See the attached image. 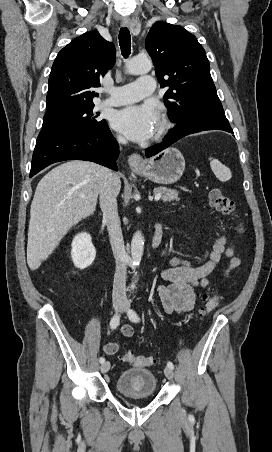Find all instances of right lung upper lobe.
<instances>
[{
	"label": "right lung upper lobe",
	"mask_w": 272,
	"mask_h": 452,
	"mask_svg": "<svg viewBox=\"0 0 272 452\" xmlns=\"http://www.w3.org/2000/svg\"><path fill=\"white\" fill-rule=\"evenodd\" d=\"M116 59L113 43L98 31L75 38L57 55L49 77L46 114L94 104L100 77L112 68Z\"/></svg>",
	"instance_id": "1"
}]
</instances>
